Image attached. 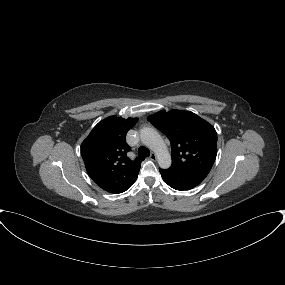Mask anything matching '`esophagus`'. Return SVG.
<instances>
[{
  "label": "esophagus",
  "mask_w": 285,
  "mask_h": 285,
  "mask_svg": "<svg viewBox=\"0 0 285 285\" xmlns=\"http://www.w3.org/2000/svg\"><path fill=\"white\" fill-rule=\"evenodd\" d=\"M151 160L155 161L157 159V156L156 154L154 153H151L150 157H149Z\"/></svg>",
  "instance_id": "esophagus-1"
}]
</instances>
